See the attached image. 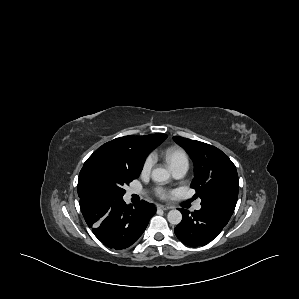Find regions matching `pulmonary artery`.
<instances>
[{"mask_svg":"<svg viewBox=\"0 0 299 299\" xmlns=\"http://www.w3.org/2000/svg\"><path fill=\"white\" fill-rule=\"evenodd\" d=\"M187 170H188V165L187 164H181V165H178V166L174 167L172 169V172H173L174 177L182 178L186 174ZM200 209H201V203H200V201H198L194 204L193 210L198 211Z\"/></svg>","mask_w":299,"mask_h":299,"instance_id":"1","label":"pulmonary artery"}]
</instances>
